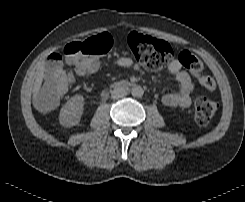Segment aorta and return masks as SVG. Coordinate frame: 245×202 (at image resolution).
Segmentation results:
<instances>
[{"instance_id":"762f6f07","label":"aorta","mask_w":245,"mask_h":202,"mask_svg":"<svg viewBox=\"0 0 245 202\" xmlns=\"http://www.w3.org/2000/svg\"><path fill=\"white\" fill-rule=\"evenodd\" d=\"M132 96L141 98L144 94V90L141 86H135L131 90Z\"/></svg>"}]
</instances>
